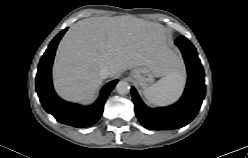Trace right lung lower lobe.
<instances>
[{
	"label": "right lung lower lobe",
	"instance_id": "1",
	"mask_svg": "<svg viewBox=\"0 0 248 158\" xmlns=\"http://www.w3.org/2000/svg\"><path fill=\"white\" fill-rule=\"evenodd\" d=\"M61 31L49 44L38 65L36 91L44 109L63 124L73 127H89L95 124L102 115L104 103L118 80L107 83L101 90L98 100L90 106H80L60 99L54 92L51 80V68L56 47L66 32Z\"/></svg>",
	"mask_w": 248,
	"mask_h": 158
}]
</instances>
